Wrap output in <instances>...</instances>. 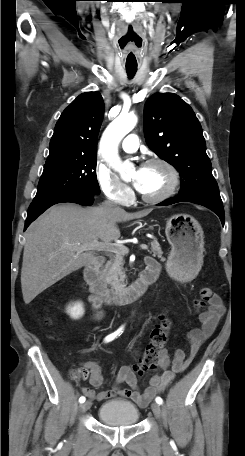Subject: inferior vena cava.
Instances as JSON below:
<instances>
[{"label":"inferior vena cava","mask_w":245,"mask_h":456,"mask_svg":"<svg viewBox=\"0 0 245 456\" xmlns=\"http://www.w3.org/2000/svg\"><path fill=\"white\" fill-rule=\"evenodd\" d=\"M104 204L106 206H112V207L115 206V204L113 202H111V201H106Z\"/></svg>","instance_id":"inferior-vena-cava-1"}]
</instances>
